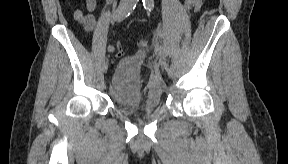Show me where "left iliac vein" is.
Masks as SVG:
<instances>
[{
  "instance_id": "left-iliac-vein-1",
  "label": "left iliac vein",
  "mask_w": 288,
  "mask_h": 164,
  "mask_svg": "<svg viewBox=\"0 0 288 164\" xmlns=\"http://www.w3.org/2000/svg\"><path fill=\"white\" fill-rule=\"evenodd\" d=\"M161 63H162V66L165 67V65H166V61H165V58H164V57L162 58Z\"/></svg>"
}]
</instances>
